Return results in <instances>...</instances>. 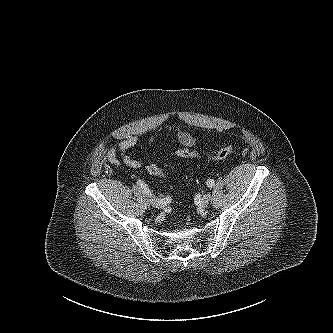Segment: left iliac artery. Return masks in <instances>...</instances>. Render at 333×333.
I'll return each instance as SVG.
<instances>
[{"instance_id": "1", "label": "left iliac artery", "mask_w": 333, "mask_h": 333, "mask_svg": "<svg viewBox=\"0 0 333 333\" xmlns=\"http://www.w3.org/2000/svg\"><path fill=\"white\" fill-rule=\"evenodd\" d=\"M206 184L209 188H212L214 186L215 182L213 179H208Z\"/></svg>"}]
</instances>
